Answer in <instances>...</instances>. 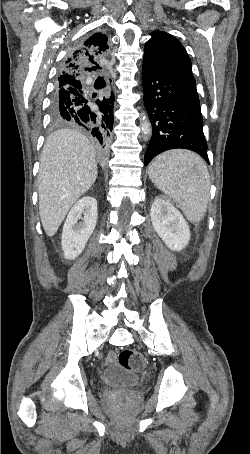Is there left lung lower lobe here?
<instances>
[{"label": "left lung lower lobe", "instance_id": "0a47b994", "mask_svg": "<svg viewBox=\"0 0 250 454\" xmlns=\"http://www.w3.org/2000/svg\"><path fill=\"white\" fill-rule=\"evenodd\" d=\"M142 83L144 105L153 128L144 156L145 166L156 155L175 148L192 150L209 164L192 73L168 70L143 59Z\"/></svg>", "mask_w": 250, "mask_h": 454}]
</instances>
